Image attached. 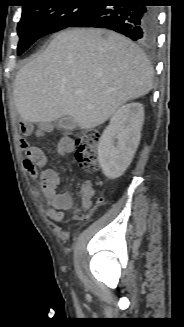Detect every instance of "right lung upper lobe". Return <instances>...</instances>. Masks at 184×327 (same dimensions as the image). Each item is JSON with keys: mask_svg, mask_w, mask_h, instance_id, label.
<instances>
[{"mask_svg": "<svg viewBox=\"0 0 184 327\" xmlns=\"http://www.w3.org/2000/svg\"><path fill=\"white\" fill-rule=\"evenodd\" d=\"M26 3V5L23 6V8H26L32 4H35V3H38V2H42V1H45V0H24Z\"/></svg>", "mask_w": 184, "mask_h": 327, "instance_id": "1", "label": "right lung upper lobe"}]
</instances>
